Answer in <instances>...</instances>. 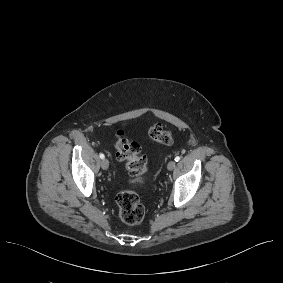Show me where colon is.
<instances>
[{"instance_id": "colon-1", "label": "colon", "mask_w": 283, "mask_h": 283, "mask_svg": "<svg viewBox=\"0 0 283 283\" xmlns=\"http://www.w3.org/2000/svg\"><path fill=\"white\" fill-rule=\"evenodd\" d=\"M115 150L119 160L126 162L127 170L133 183H142L143 175L147 171V158L141 154L138 143L125 137L123 131L116 133ZM150 140L162 145L172 143V134L161 124H153L148 128ZM121 220L130 226H136L143 222L145 209L136 192L126 190L120 192L116 198Z\"/></svg>"}]
</instances>
